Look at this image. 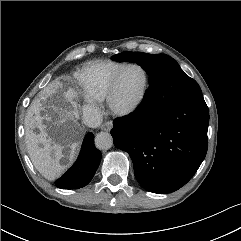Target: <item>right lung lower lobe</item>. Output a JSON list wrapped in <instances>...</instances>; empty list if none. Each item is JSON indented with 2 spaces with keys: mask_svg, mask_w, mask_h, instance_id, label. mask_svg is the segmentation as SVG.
Instances as JSON below:
<instances>
[{
  "mask_svg": "<svg viewBox=\"0 0 241 241\" xmlns=\"http://www.w3.org/2000/svg\"><path fill=\"white\" fill-rule=\"evenodd\" d=\"M101 152L95 147L94 135L86 134L78 159L74 165L56 182L61 189H79L86 186L93 176L101 161Z\"/></svg>",
  "mask_w": 241,
  "mask_h": 241,
  "instance_id": "98d812e1",
  "label": "right lung lower lobe"
}]
</instances>
